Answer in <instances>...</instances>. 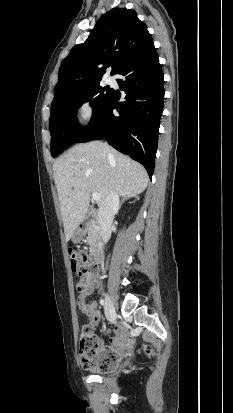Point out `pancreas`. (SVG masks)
<instances>
[{
  "label": "pancreas",
  "mask_w": 233,
  "mask_h": 413,
  "mask_svg": "<svg viewBox=\"0 0 233 413\" xmlns=\"http://www.w3.org/2000/svg\"><path fill=\"white\" fill-rule=\"evenodd\" d=\"M99 238V229L96 225L90 224L88 227L87 241L90 246H93Z\"/></svg>",
  "instance_id": "cf45deb5"
}]
</instances>
